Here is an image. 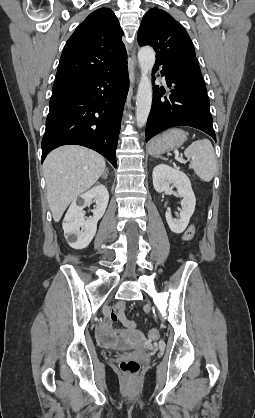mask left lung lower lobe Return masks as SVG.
<instances>
[{"mask_svg":"<svg viewBox=\"0 0 255 418\" xmlns=\"http://www.w3.org/2000/svg\"><path fill=\"white\" fill-rule=\"evenodd\" d=\"M171 94L164 97L154 86L151 112L146 125V142L159 132L174 126H191L204 131L216 141L209 109V98L197 59L156 61ZM155 78H153V82Z\"/></svg>","mask_w":255,"mask_h":418,"instance_id":"0a47b994","label":"left lung lower lobe"}]
</instances>
